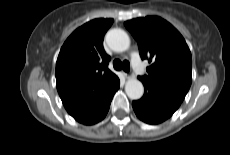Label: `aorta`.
<instances>
[{"mask_svg": "<svg viewBox=\"0 0 230 155\" xmlns=\"http://www.w3.org/2000/svg\"><path fill=\"white\" fill-rule=\"evenodd\" d=\"M106 42L109 47L116 52L126 51L130 46V38L128 34L119 28L108 31ZM125 91L131 100H137L143 96L144 87L138 79H129L126 82Z\"/></svg>", "mask_w": 230, "mask_h": 155, "instance_id": "762f6f07", "label": "aorta"}]
</instances>
